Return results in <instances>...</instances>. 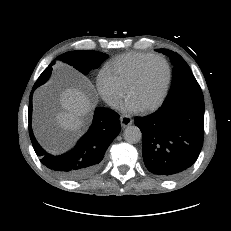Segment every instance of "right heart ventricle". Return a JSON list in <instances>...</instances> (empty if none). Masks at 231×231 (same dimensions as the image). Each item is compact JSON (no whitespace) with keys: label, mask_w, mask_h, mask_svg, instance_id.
Masks as SVG:
<instances>
[{"label":"right heart ventricle","mask_w":231,"mask_h":231,"mask_svg":"<svg viewBox=\"0 0 231 231\" xmlns=\"http://www.w3.org/2000/svg\"><path fill=\"white\" fill-rule=\"evenodd\" d=\"M151 56L141 52L126 53L108 62L103 70L126 90L139 65Z\"/></svg>","instance_id":"e07e8e85"}]
</instances>
